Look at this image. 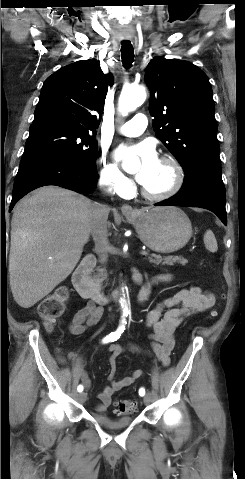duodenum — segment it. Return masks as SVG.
I'll list each match as a JSON object with an SVG mask.
<instances>
[{"label": "duodenum", "instance_id": "1", "mask_svg": "<svg viewBox=\"0 0 245 479\" xmlns=\"http://www.w3.org/2000/svg\"><path fill=\"white\" fill-rule=\"evenodd\" d=\"M95 266L96 258L93 255L85 256L73 273V286L81 297L90 298L99 304H105L111 297H118L120 290L112 291L109 294L103 293L97 280L91 276ZM134 280L137 285L141 284L138 274L134 275Z\"/></svg>", "mask_w": 245, "mask_h": 479}]
</instances>
